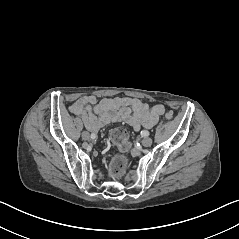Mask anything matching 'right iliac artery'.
Masks as SVG:
<instances>
[{"instance_id":"1","label":"right iliac artery","mask_w":239,"mask_h":239,"mask_svg":"<svg viewBox=\"0 0 239 239\" xmlns=\"http://www.w3.org/2000/svg\"><path fill=\"white\" fill-rule=\"evenodd\" d=\"M91 138H92V139H95V138H96V134H94V133L91 134Z\"/></svg>"}]
</instances>
